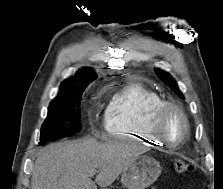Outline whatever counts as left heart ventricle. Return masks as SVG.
<instances>
[{"instance_id":"left-heart-ventricle-1","label":"left heart ventricle","mask_w":223,"mask_h":189,"mask_svg":"<svg viewBox=\"0 0 223 189\" xmlns=\"http://www.w3.org/2000/svg\"><path fill=\"white\" fill-rule=\"evenodd\" d=\"M184 132V124L182 118L175 111H170L163 121V134L171 141H178Z\"/></svg>"}]
</instances>
